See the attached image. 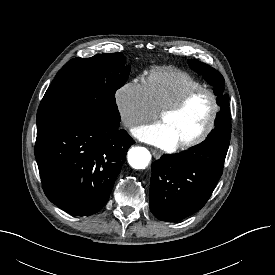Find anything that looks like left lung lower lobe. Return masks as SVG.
Listing matches in <instances>:
<instances>
[{
  "label": "left lung lower lobe",
  "mask_w": 275,
  "mask_h": 275,
  "mask_svg": "<svg viewBox=\"0 0 275 275\" xmlns=\"http://www.w3.org/2000/svg\"><path fill=\"white\" fill-rule=\"evenodd\" d=\"M230 139L207 138L179 154H165L151 165L150 210L177 222L200 210L223 172Z\"/></svg>",
  "instance_id": "left-lung-lower-lobe-1"
}]
</instances>
